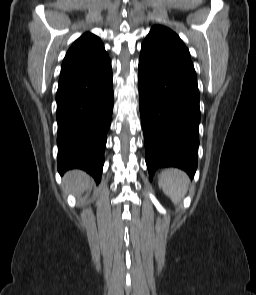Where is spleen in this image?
<instances>
[{"mask_svg": "<svg viewBox=\"0 0 256 295\" xmlns=\"http://www.w3.org/2000/svg\"><path fill=\"white\" fill-rule=\"evenodd\" d=\"M158 184L172 202L178 204L187 192L189 179L181 170L171 168L160 174Z\"/></svg>", "mask_w": 256, "mask_h": 295, "instance_id": "spleen-1", "label": "spleen"}]
</instances>
